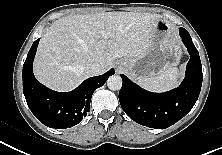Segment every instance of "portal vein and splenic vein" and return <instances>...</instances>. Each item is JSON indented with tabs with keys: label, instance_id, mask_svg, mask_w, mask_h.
I'll return each instance as SVG.
<instances>
[{
	"label": "portal vein and splenic vein",
	"instance_id": "obj_1",
	"mask_svg": "<svg viewBox=\"0 0 222 155\" xmlns=\"http://www.w3.org/2000/svg\"><path fill=\"white\" fill-rule=\"evenodd\" d=\"M101 34H102V36H103L104 39L107 38V33H106V32L102 31Z\"/></svg>",
	"mask_w": 222,
	"mask_h": 155
}]
</instances>
